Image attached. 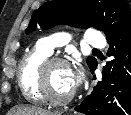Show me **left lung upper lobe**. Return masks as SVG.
I'll return each mask as SVG.
<instances>
[{
	"label": "left lung upper lobe",
	"mask_w": 131,
	"mask_h": 115,
	"mask_svg": "<svg viewBox=\"0 0 131 115\" xmlns=\"http://www.w3.org/2000/svg\"><path fill=\"white\" fill-rule=\"evenodd\" d=\"M131 16L127 0H53L38 8L31 17L26 33L36 29L37 24L48 29L58 24L75 27H94L105 33L106 38L115 33ZM97 63L87 58L91 69Z\"/></svg>",
	"instance_id": "obj_1"
}]
</instances>
